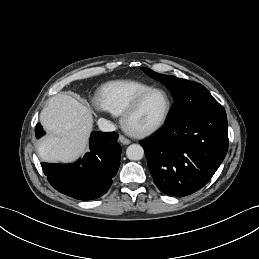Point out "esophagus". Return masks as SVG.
I'll use <instances>...</instances> for the list:
<instances>
[{
	"mask_svg": "<svg viewBox=\"0 0 259 259\" xmlns=\"http://www.w3.org/2000/svg\"><path fill=\"white\" fill-rule=\"evenodd\" d=\"M119 141H120L122 144H124V145H128V144L131 143V141H130L128 138L124 137L123 135H120V136H119Z\"/></svg>",
	"mask_w": 259,
	"mask_h": 259,
	"instance_id": "esophagus-1",
	"label": "esophagus"
}]
</instances>
